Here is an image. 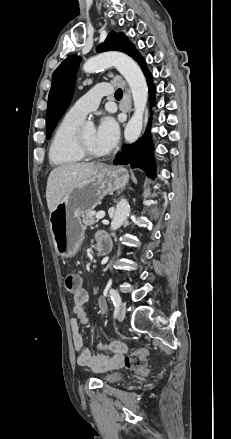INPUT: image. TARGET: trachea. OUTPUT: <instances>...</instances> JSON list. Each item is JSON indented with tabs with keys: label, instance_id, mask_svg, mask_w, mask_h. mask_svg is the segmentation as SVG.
<instances>
[{
	"label": "trachea",
	"instance_id": "obj_1",
	"mask_svg": "<svg viewBox=\"0 0 231 439\" xmlns=\"http://www.w3.org/2000/svg\"><path fill=\"white\" fill-rule=\"evenodd\" d=\"M114 96H115V98L118 99V100L121 99L122 96H123L122 89L118 88V89L115 91Z\"/></svg>",
	"mask_w": 231,
	"mask_h": 439
}]
</instances>
